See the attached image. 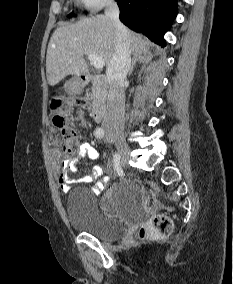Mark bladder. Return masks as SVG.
Segmentation results:
<instances>
[{
    "label": "bladder",
    "mask_w": 233,
    "mask_h": 284,
    "mask_svg": "<svg viewBox=\"0 0 233 284\" xmlns=\"http://www.w3.org/2000/svg\"><path fill=\"white\" fill-rule=\"evenodd\" d=\"M121 206H137L141 200L139 189L129 183L122 182L112 191L111 197H105ZM67 215L71 226L103 241L117 239L125 230L124 223L113 216L100 211L95 197L85 189L72 190L67 198Z\"/></svg>",
    "instance_id": "31cf9c89"
}]
</instances>
